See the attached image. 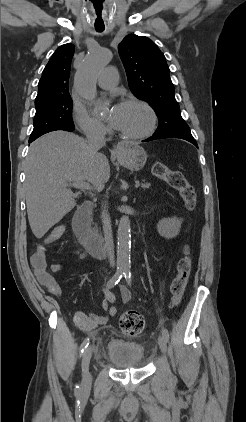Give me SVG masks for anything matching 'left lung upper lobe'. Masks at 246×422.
I'll return each mask as SVG.
<instances>
[{"mask_svg":"<svg viewBox=\"0 0 246 422\" xmlns=\"http://www.w3.org/2000/svg\"><path fill=\"white\" fill-rule=\"evenodd\" d=\"M118 50L132 93L156 112L159 126L154 135L191 134L175 99L165 56L157 45L147 37L132 34L122 40Z\"/></svg>","mask_w":246,"mask_h":422,"instance_id":"left-lung-upper-lobe-1","label":"left lung upper lobe"}]
</instances>
